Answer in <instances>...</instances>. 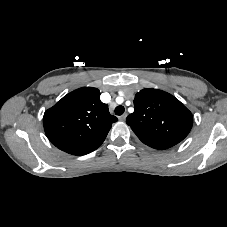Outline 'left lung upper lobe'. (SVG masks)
I'll return each mask as SVG.
<instances>
[{"label": "left lung upper lobe", "mask_w": 227, "mask_h": 227, "mask_svg": "<svg viewBox=\"0 0 227 227\" xmlns=\"http://www.w3.org/2000/svg\"><path fill=\"white\" fill-rule=\"evenodd\" d=\"M134 108L126 123L151 148L168 149L181 142L192 128V113L165 91L141 90L135 95Z\"/></svg>", "instance_id": "1"}]
</instances>
